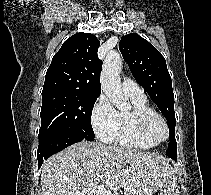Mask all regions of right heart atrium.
Segmentation results:
<instances>
[{"label": "right heart atrium", "instance_id": "right-heart-atrium-1", "mask_svg": "<svg viewBox=\"0 0 211 195\" xmlns=\"http://www.w3.org/2000/svg\"><path fill=\"white\" fill-rule=\"evenodd\" d=\"M91 125L96 136L105 143L114 139L117 111L105 95H100L91 111Z\"/></svg>", "mask_w": 211, "mask_h": 195}]
</instances>
